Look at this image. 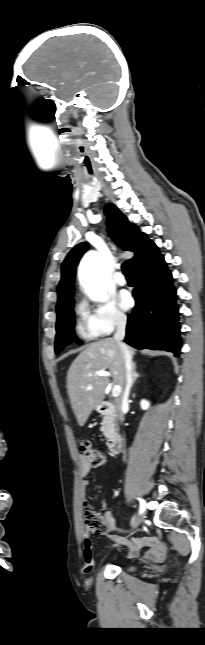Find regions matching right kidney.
<instances>
[{
	"label": "right kidney",
	"instance_id": "right-kidney-1",
	"mask_svg": "<svg viewBox=\"0 0 205 645\" xmlns=\"http://www.w3.org/2000/svg\"><path fill=\"white\" fill-rule=\"evenodd\" d=\"M140 405L143 410H147L149 408L150 403L146 400H141Z\"/></svg>",
	"mask_w": 205,
	"mask_h": 645
}]
</instances>
